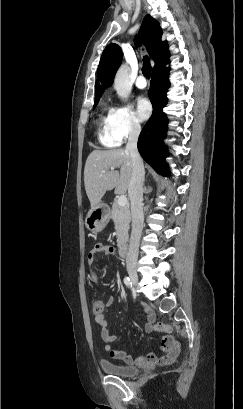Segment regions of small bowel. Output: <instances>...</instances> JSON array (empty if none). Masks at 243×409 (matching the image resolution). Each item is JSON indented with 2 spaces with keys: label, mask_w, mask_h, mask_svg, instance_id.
Wrapping results in <instances>:
<instances>
[{
  "label": "small bowel",
  "mask_w": 243,
  "mask_h": 409,
  "mask_svg": "<svg viewBox=\"0 0 243 409\" xmlns=\"http://www.w3.org/2000/svg\"><path fill=\"white\" fill-rule=\"evenodd\" d=\"M115 248L108 244L98 243L96 244L87 256V261L90 266H93L96 261L97 255H114ZM91 281L94 284L99 283V276L92 270ZM103 301V300H102ZM114 301L111 297L106 301V304L110 305ZM104 304V302H103ZM144 313L146 314V323L144 330L147 333H151L154 330L155 313L147 306L144 307ZM94 319L97 326L100 328L101 339L104 343L105 350L114 359H119L126 364L138 363L140 365H170L180 354L179 342L170 334L165 335L160 340V350L157 353H150L147 356H141L134 359L131 355L125 351L114 349L112 344L116 340V336L111 334L108 330V320L103 312L94 313Z\"/></svg>",
  "instance_id": "small-bowel-1"
}]
</instances>
